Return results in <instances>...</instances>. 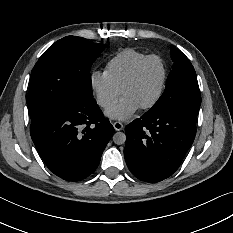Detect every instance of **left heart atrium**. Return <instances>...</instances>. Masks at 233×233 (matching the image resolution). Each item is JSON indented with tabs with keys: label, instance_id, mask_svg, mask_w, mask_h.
Wrapping results in <instances>:
<instances>
[{
	"label": "left heart atrium",
	"instance_id": "1",
	"mask_svg": "<svg viewBox=\"0 0 233 233\" xmlns=\"http://www.w3.org/2000/svg\"><path fill=\"white\" fill-rule=\"evenodd\" d=\"M140 108L135 100L124 96L117 105L107 109L104 114L109 119L125 121L131 118Z\"/></svg>",
	"mask_w": 233,
	"mask_h": 233
}]
</instances>
